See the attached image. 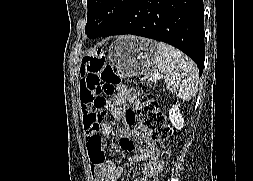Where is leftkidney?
Wrapping results in <instances>:
<instances>
[{"label": "left kidney", "instance_id": "left-kidney-1", "mask_svg": "<svg viewBox=\"0 0 253 181\" xmlns=\"http://www.w3.org/2000/svg\"><path fill=\"white\" fill-rule=\"evenodd\" d=\"M169 119L172 125L180 130L184 126V118L180 113L179 106L173 105L172 108L169 110Z\"/></svg>", "mask_w": 253, "mask_h": 181}]
</instances>
